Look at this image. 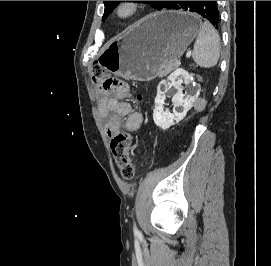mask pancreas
<instances>
[{
	"label": "pancreas",
	"instance_id": "cf45deb5",
	"mask_svg": "<svg viewBox=\"0 0 271 266\" xmlns=\"http://www.w3.org/2000/svg\"><path fill=\"white\" fill-rule=\"evenodd\" d=\"M177 67H178L177 62H172V63L167 64V65L164 67V70L160 73V76H165V75H167L169 72H171L172 70H174V69L177 68Z\"/></svg>",
	"mask_w": 271,
	"mask_h": 266
}]
</instances>
